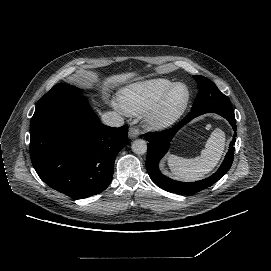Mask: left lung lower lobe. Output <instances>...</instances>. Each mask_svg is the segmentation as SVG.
<instances>
[{
	"label": "left lung lower lobe",
	"mask_w": 271,
	"mask_h": 271,
	"mask_svg": "<svg viewBox=\"0 0 271 271\" xmlns=\"http://www.w3.org/2000/svg\"><path fill=\"white\" fill-rule=\"evenodd\" d=\"M213 112L221 115L228 122L231 124L234 130V137L230 144L229 150L226 154V157L219 167V169L210 177L192 182V183H184L172 180L165 175H163L158 169V163L163 155L168 151L170 142L176 132L183 127L186 123L192 120L194 117L202 115L204 113ZM235 115L234 111H222V110H195L191 111L183 120H181L178 124H176L171 129L155 132V133H147L145 134V139L149 142L148 143V150H147V159H146V168L148 171L149 176L153 180V182L159 186L160 188L177 194L182 195H192L197 193L203 189L208 188L209 186L213 185L216 181H218L223 175H225L228 170L230 169L233 158H234V147L235 144V137L237 136L236 133V124H235Z\"/></svg>",
	"instance_id": "left-lung-lower-lobe-1"
}]
</instances>
